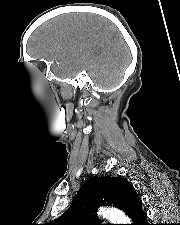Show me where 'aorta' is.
Segmentation results:
<instances>
[{
    "mask_svg": "<svg viewBox=\"0 0 180 225\" xmlns=\"http://www.w3.org/2000/svg\"><path fill=\"white\" fill-rule=\"evenodd\" d=\"M98 214L103 218L108 219L112 224L130 223V219L122 211L115 208H102Z\"/></svg>",
    "mask_w": 180,
    "mask_h": 225,
    "instance_id": "762f6f07",
    "label": "aorta"
}]
</instances>
